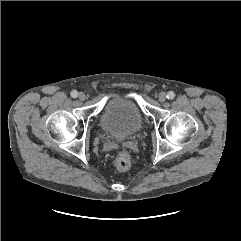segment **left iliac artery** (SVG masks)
<instances>
[{"label": "left iliac artery", "instance_id": "1", "mask_svg": "<svg viewBox=\"0 0 241 241\" xmlns=\"http://www.w3.org/2000/svg\"><path fill=\"white\" fill-rule=\"evenodd\" d=\"M168 99L172 100L175 98V93L173 91H169L166 96Z\"/></svg>", "mask_w": 241, "mask_h": 241}]
</instances>
